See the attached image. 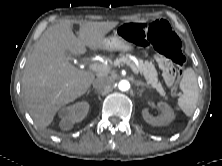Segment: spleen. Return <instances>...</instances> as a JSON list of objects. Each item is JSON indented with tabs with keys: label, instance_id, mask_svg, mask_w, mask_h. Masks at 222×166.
<instances>
[{
	"label": "spleen",
	"instance_id": "1",
	"mask_svg": "<svg viewBox=\"0 0 222 166\" xmlns=\"http://www.w3.org/2000/svg\"><path fill=\"white\" fill-rule=\"evenodd\" d=\"M180 89L183 94L178 98V106L186 116H191L196 109L199 96L197 77L192 68H187L184 71L180 81Z\"/></svg>",
	"mask_w": 222,
	"mask_h": 166
}]
</instances>
